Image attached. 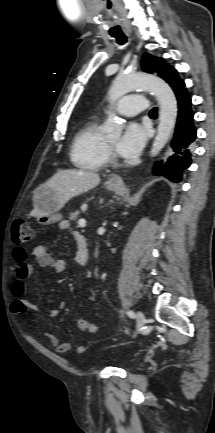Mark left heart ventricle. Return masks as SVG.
Instances as JSON below:
<instances>
[{
  "label": "left heart ventricle",
  "instance_id": "obj_1",
  "mask_svg": "<svg viewBox=\"0 0 215 433\" xmlns=\"http://www.w3.org/2000/svg\"><path fill=\"white\" fill-rule=\"evenodd\" d=\"M108 140L110 143H112L113 145H116L118 140H119V136H112V137H108Z\"/></svg>",
  "mask_w": 215,
  "mask_h": 433
}]
</instances>
